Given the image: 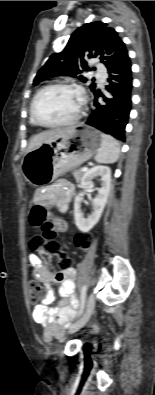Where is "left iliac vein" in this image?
Masks as SVG:
<instances>
[{"label": "left iliac vein", "mask_w": 155, "mask_h": 395, "mask_svg": "<svg viewBox=\"0 0 155 395\" xmlns=\"http://www.w3.org/2000/svg\"><path fill=\"white\" fill-rule=\"evenodd\" d=\"M95 307V296L90 294L87 299L84 314L69 329L70 333H74L81 329L90 319Z\"/></svg>", "instance_id": "4c4485c4"}]
</instances>
